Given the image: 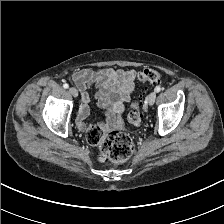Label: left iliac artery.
<instances>
[{"label": "left iliac artery", "mask_w": 224, "mask_h": 224, "mask_svg": "<svg viewBox=\"0 0 224 224\" xmlns=\"http://www.w3.org/2000/svg\"><path fill=\"white\" fill-rule=\"evenodd\" d=\"M160 91H161V87H160V86H157V87L155 88V92L159 93Z\"/></svg>", "instance_id": "44dca946"}]
</instances>
